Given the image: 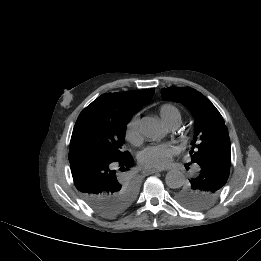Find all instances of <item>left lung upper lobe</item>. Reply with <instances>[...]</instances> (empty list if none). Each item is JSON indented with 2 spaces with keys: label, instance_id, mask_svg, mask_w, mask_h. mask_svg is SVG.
<instances>
[{
  "label": "left lung upper lobe",
  "instance_id": "1",
  "mask_svg": "<svg viewBox=\"0 0 261 261\" xmlns=\"http://www.w3.org/2000/svg\"><path fill=\"white\" fill-rule=\"evenodd\" d=\"M162 97L182 103L195 117L194 136L191 142V161L201 163L213 160L219 165L224 160L231 161L230 139L224 120L215 106L200 92L190 87L163 88ZM223 187L216 193L205 194L190 183L181 186L175 194L176 200L192 210H203L211 206L219 197Z\"/></svg>",
  "mask_w": 261,
  "mask_h": 261
}]
</instances>
